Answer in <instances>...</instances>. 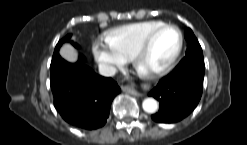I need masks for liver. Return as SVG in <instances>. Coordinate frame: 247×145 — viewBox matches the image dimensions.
I'll list each match as a JSON object with an SVG mask.
<instances>
[{
    "instance_id": "liver-1",
    "label": "liver",
    "mask_w": 247,
    "mask_h": 145,
    "mask_svg": "<svg viewBox=\"0 0 247 145\" xmlns=\"http://www.w3.org/2000/svg\"><path fill=\"white\" fill-rule=\"evenodd\" d=\"M59 54L69 63L74 64L78 62V53L76 49L69 43H65L61 46Z\"/></svg>"
}]
</instances>
